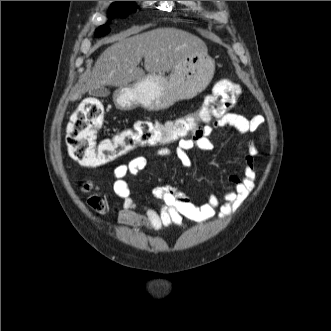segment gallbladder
Instances as JSON below:
<instances>
[{
    "instance_id": "gallbladder-1",
    "label": "gallbladder",
    "mask_w": 331,
    "mask_h": 331,
    "mask_svg": "<svg viewBox=\"0 0 331 331\" xmlns=\"http://www.w3.org/2000/svg\"><path fill=\"white\" fill-rule=\"evenodd\" d=\"M89 94L93 97L102 98V97H107L110 94V92L107 88L100 87V88H96V89L91 90L89 92Z\"/></svg>"
}]
</instances>
